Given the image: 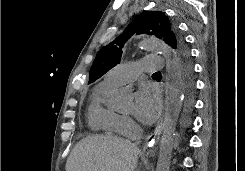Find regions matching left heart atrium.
<instances>
[{
  "instance_id": "39dd6f15",
  "label": "left heart atrium",
  "mask_w": 245,
  "mask_h": 171,
  "mask_svg": "<svg viewBox=\"0 0 245 171\" xmlns=\"http://www.w3.org/2000/svg\"><path fill=\"white\" fill-rule=\"evenodd\" d=\"M161 111V99L156 91L140 88L135 94L134 116L144 124L153 123Z\"/></svg>"
}]
</instances>
